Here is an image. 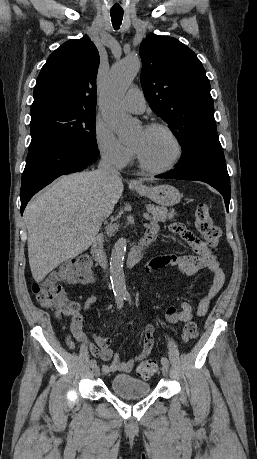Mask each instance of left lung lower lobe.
Listing matches in <instances>:
<instances>
[{
    "label": "left lung lower lobe",
    "mask_w": 257,
    "mask_h": 459,
    "mask_svg": "<svg viewBox=\"0 0 257 459\" xmlns=\"http://www.w3.org/2000/svg\"><path fill=\"white\" fill-rule=\"evenodd\" d=\"M156 177L208 183L222 194L229 212L230 179L216 130L201 135L193 158L180 160L177 168Z\"/></svg>",
    "instance_id": "0a47b994"
}]
</instances>
